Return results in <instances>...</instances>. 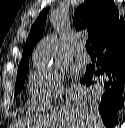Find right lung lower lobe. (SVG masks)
<instances>
[{
	"label": "right lung lower lobe",
	"instance_id": "right-lung-lower-lobe-1",
	"mask_svg": "<svg viewBox=\"0 0 125 128\" xmlns=\"http://www.w3.org/2000/svg\"><path fill=\"white\" fill-rule=\"evenodd\" d=\"M93 49L97 62L87 66L84 79L87 85L96 83L101 87L103 95L98 110L103 123L112 128L117 124V111L124 105L125 22L98 40ZM92 77L95 82L91 81Z\"/></svg>",
	"mask_w": 125,
	"mask_h": 128
}]
</instances>
